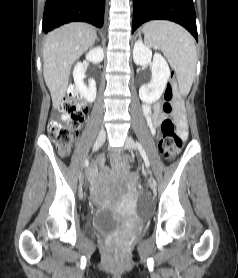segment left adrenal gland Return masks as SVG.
<instances>
[{"mask_svg":"<svg viewBox=\"0 0 238 278\" xmlns=\"http://www.w3.org/2000/svg\"><path fill=\"white\" fill-rule=\"evenodd\" d=\"M137 36H139V37H140V39H141V33H140V32L137 34Z\"/></svg>","mask_w":238,"mask_h":278,"instance_id":"left-adrenal-gland-1","label":"left adrenal gland"}]
</instances>
